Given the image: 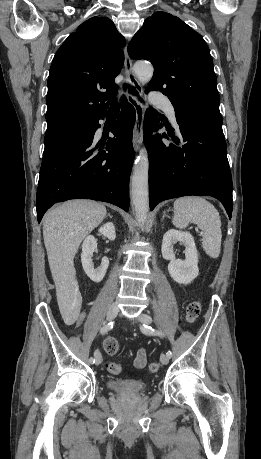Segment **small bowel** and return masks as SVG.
<instances>
[{
    "instance_id": "small-bowel-1",
    "label": "small bowel",
    "mask_w": 261,
    "mask_h": 459,
    "mask_svg": "<svg viewBox=\"0 0 261 459\" xmlns=\"http://www.w3.org/2000/svg\"><path fill=\"white\" fill-rule=\"evenodd\" d=\"M85 313H82L80 318H84ZM146 365V353L144 349H140L134 359V366L138 369L144 368Z\"/></svg>"
}]
</instances>
